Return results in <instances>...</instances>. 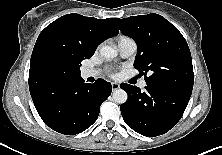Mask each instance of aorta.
<instances>
[{
    "instance_id": "aorta-1",
    "label": "aorta",
    "mask_w": 222,
    "mask_h": 155,
    "mask_svg": "<svg viewBox=\"0 0 222 155\" xmlns=\"http://www.w3.org/2000/svg\"><path fill=\"white\" fill-rule=\"evenodd\" d=\"M100 54L108 59L111 60L117 56L116 48H113L108 45H104L100 48ZM113 100L118 104H123L127 101V93L123 89H116L112 94Z\"/></svg>"
}]
</instances>
